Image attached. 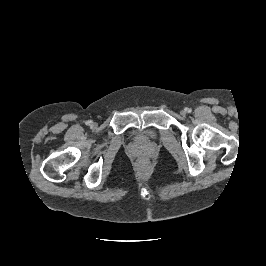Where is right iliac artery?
Returning a JSON list of instances; mask_svg holds the SVG:
<instances>
[{
  "label": "right iliac artery",
  "mask_w": 266,
  "mask_h": 266,
  "mask_svg": "<svg viewBox=\"0 0 266 266\" xmlns=\"http://www.w3.org/2000/svg\"><path fill=\"white\" fill-rule=\"evenodd\" d=\"M86 124H87V125H91V124H92V121H91V120H88V121L86 122Z\"/></svg>",
  "instance_id": "82829eb1"
}]
</instances>
